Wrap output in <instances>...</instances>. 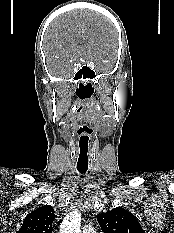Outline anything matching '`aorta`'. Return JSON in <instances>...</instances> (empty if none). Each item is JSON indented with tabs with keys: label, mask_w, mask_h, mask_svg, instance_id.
I'll list each match as a JSON object with an SVG mask.
<instances>
[{
	"label": "aorta",
	"mask_w": 174,
	"mask_h": 233,
	"mask_svg": "<svg viewBox=\"0 0 174 233\" xmlns=\"http://www.w3.org/2000/svg\"><path fill=\"white\" fill-rule=\"evenodd\" d=\"M80 225L81 213L72 211L64 217L60 225V233H80Z\"/></svg>",
	"instance_id": "obj_1"
}]
</instances>
